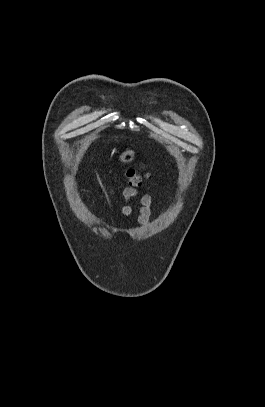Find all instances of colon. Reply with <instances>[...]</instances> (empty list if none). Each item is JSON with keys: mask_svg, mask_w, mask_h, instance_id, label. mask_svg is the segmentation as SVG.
I'll return each mask as SVG.
<instances>
[{"mask_svg": "<svg viewBox=\"0 0 265 407\" xmlns=\"http://www.w3.org/2000/svg\"><path fill=\"white\" fill-rule=\"evenodd\" d=\"M150 176L149 173H142L136 169H129L126 172V177L130 187H138L142 184V181Z\"/></svg>", "mask_w": 265, "mask_h": 407, "instance_id": "colon-1", "label": "colon"}]
</instances>
